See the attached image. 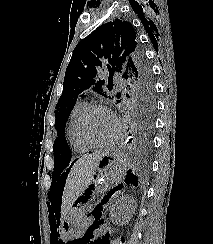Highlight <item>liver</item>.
I'll return each instance as SVG.
<instances>
[{
    "label": "liver",
    "mask_w": 213,
    "mask_h": 244,
    "mask_svg": "<svg viewBox=\"0 0 213 244\" xmlns=\"http://www.w3.org/2000/svg\"><path fill=\"white\" fill-rule=\"evenodd\" d=\"M106 153L107 152H97L86 154L74 163L67 177L63 191L61 206L62 219L67 215L71 205L90 185L98 164Z\"/></svg>",
    "instance_id": "6515ba94"
}]
</instances>
